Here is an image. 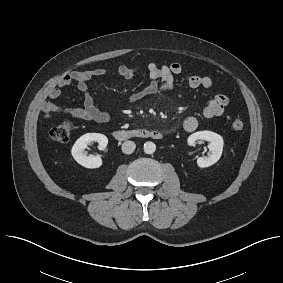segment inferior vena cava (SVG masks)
Returning <instances> with one entry per match:
<instances>
[{"label":"inferior vena cava","mask_w":283,"mask_h":283,"mask_svg":"<svg viewBox=\"0 0 283 283\" xmlns=\"http://www.w3.org/2000/svg\"><path fill=\"white\" fill-rule=\"evenodd\" d=\"M136 148V144L133 141L123 142L121 149L124 154H132Z\"/></svg>","instance_id":"602c4592"}]
</instances>
